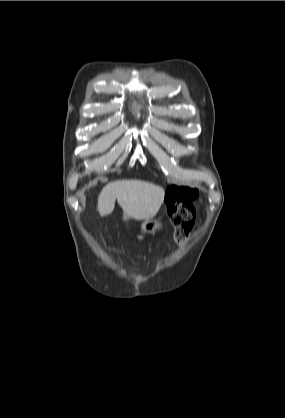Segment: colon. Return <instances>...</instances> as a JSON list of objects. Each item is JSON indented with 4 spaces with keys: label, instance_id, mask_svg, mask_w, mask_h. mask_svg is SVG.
Returning a JSON list of instances; mask_svg holds the SVG:
<instances>
[{
    "label": "colon",
    "instance_id": "5ec220e1",
    "mask_svg": "<svg viewBox=\"0 0 285 418\" xmlns=\"http://www.w3.org/2000/svg\"><path fill=\"white\" fill-rule=\"evenodd\" d=\"M167 213L174 226V238L179 244L189 240L190 232L195 224L193 190L174 186L168 189Z\"/></svg>",
    "mask_w": 285,
    "mask_h": 418
}]
</instances>
